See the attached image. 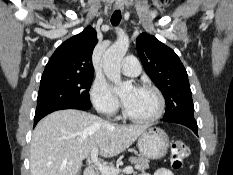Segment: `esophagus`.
I'll return each mask as SVG.
<instances>
[{
    "label": "esophagus",
    "mask_w": 233,
    "mask_h": 175,
    "mask_svg": "<svg viewBox=\"0 0 233 175\" xmlns=\"http://www.w3.org/2000/svg\"><path fill=\"white\" fill-rule=\"evenodd\" d=\"M115 9H116V10H123V9H124L123 3L117 2V3L115 4Z\"/></svg>",
    "instance_id": "1"
}]
</instances>
